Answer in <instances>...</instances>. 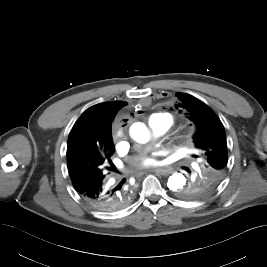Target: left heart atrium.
<instances>
[{
	"instance_id": "obj_1",
	"label": "left heart atrium",
	"mask_w": 267,
	"mask_h": 267,
	"mask_svg": "<svg viewBox=\"0 0 267 267\" xmlns=\"http://www.w3.org/2000/svg\"><path fill=\"white\" fill-rule=\"evenodd\" d=\"M158 164L157 158L155 156H142L138 158L134 165L136 169H147Z\"/></svg>"
}]
</instances>
